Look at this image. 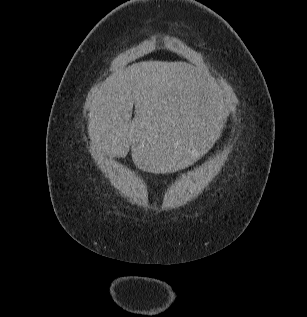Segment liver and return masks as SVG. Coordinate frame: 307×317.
I'll return each instance as SVG.
<instances>
[{
    "instance_id": "6515ba94",
    "label": "liver",
    "mask_w": 307,
    "mask_h": 317,
    "mask_svg": "<svg viewBox=\"0 0 307 317\" xmlns=\"http://www.w3.org/2000/svg\"><path fill=\"white\" fill-rule=\"evenodd\" d=\"M222 89L206 69L186 62L132 64L89 92L90 139L119 157L131 146L145 175H183L222 140L228 118Z\"/></svg>"
}]
</instances>
